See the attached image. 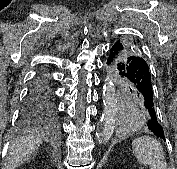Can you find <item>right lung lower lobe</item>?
<instances>
[{"label":"right lung lower lobe","instance_id":"obj_1","mask_svg":"<svg viewBox=\"0 0 177 169\" xmlns=\"http://www.w3.org/2000/svg\"><path fill=\"white\" fill-rule=\"evenodd\" d=\"M51 88L48 77L41 75L36 78L23 109L25 119L40 121L56 116Z\"/></svg>","mask_w":177,"mask_h":169}]
</instances>
